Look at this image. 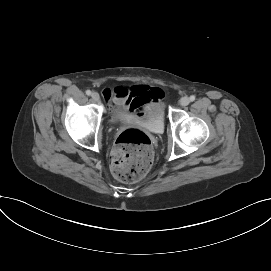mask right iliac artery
<instances>
[{"instance_id": "1", "label": "right iliac artery", "mask_w": 271, "mask_h": 271, "mask_svg": "<svg viewBox=\"0 0 271 271\" xmlns=\"http://www.w3.org/2000/svg\"><path fill=\"white\" fill-rule=\"evenodd\" d=\"M86 94H87L88 96H90V95H91V91H90V90H87V91H86Z\"/></svg>"}]
</instances>
